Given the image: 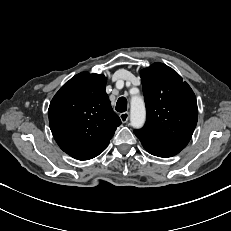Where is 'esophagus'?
I'll return each mask as SVG.
<instances>
[{
	"mask_svg": "<svg viewBox=\"0 0 231 231\" xmlns=\"http://www.w3.org/2000/svg\"><path fill=\"white\" fill-rule=\"evenodd\" d=\"M122 123H126L129 119V113L128 112H123L119 115Z\"/></svg>",
	"mask_w": 231,
	"mask_h": 231,
	"instance_id": "1",
	"label": "esophagus"
}]
</instances>
